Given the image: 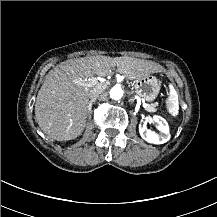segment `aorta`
Instances as JSON below:
<instances>
[{
    "label": "aorta",
    "mask_w": 217,
    "mask_h": 217,
    "mask_svg": "<svg viewBox=\"0 0 217 217\" xmlns=\"http://www.w3.org/2000/svg\"><path fill=\"white\" fill-rule=\"evenodd\" d=\"M109 94L111 99L119 100L123 97L124 91L120 86H114Z\"/></svg>",
    "instance_id": "762f6f07"
}]
</instances>
